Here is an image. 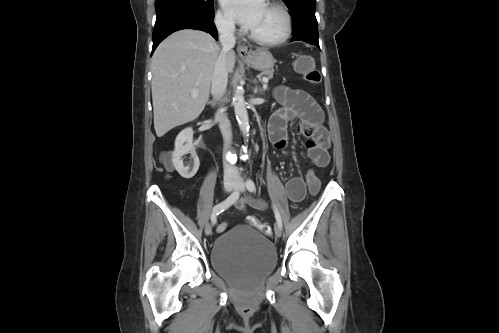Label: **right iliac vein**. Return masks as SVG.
Wrapping results in <instances>:
<instances>
[{"label":"right iliac vein","instance_id":"right-iliac-vein-1","mask_svg":"<svg viewBox=\"0 0 499 333\" xmlns=\"http://www.w3.org/2000/svg\"><path fill=\"white\" fill-rule=\"evenodd\" d=\"M234 180L230 177H226L224 179V190L226 193H229L232 191L233 187H234ZM212 232V225L210 223H208L205 227V234L206 235H210Z\"/></svg>","mask_w":499,"mask_h":333}]
</instances>
